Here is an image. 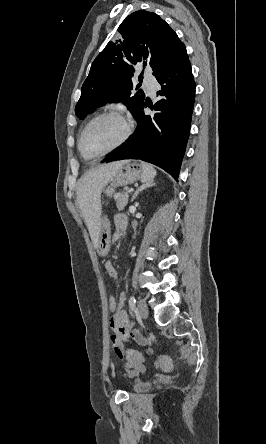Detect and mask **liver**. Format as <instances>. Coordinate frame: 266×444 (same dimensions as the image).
<instances>
[{"mask_svg": "<svg viewBox=\"0 0 266 444\" xmlns=\"http://www.w3.org/2000/svg\"><path fill=\"white\" fill-rule=\"evenodd\" d=\"M128 160L101 165L86 172L78 183L77 204L85 219L93 245L98 247L101 220V192Z\"/></svg>", "mask_w": 266, "mask_h": 444, "instance_id": "obj_1", "label": "liver"}]
</instances>
